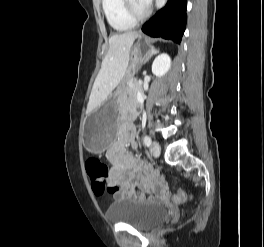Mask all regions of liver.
<instances>
[{
	"label": "liver",
	"mask_w": 264,
	"mask_h": 247,
	"mask_svg": "<svg viewBox=\"0 0 264 247\" xmlns=\"http://www.w3.org/2000/svg\"><path fill=\"white\" fill-rule=\"evenodd\" d=\"M139 36L138 32L131 31L109 38V50L95 79L87 105V114L100 106L123 79L128 68L131 47Z\"/></svg>",
	"instance_id": "1"
}]
</instances>
